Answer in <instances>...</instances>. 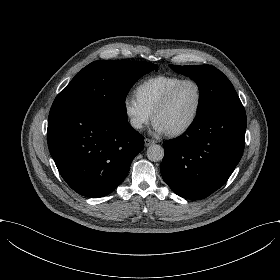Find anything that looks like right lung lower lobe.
Listing matches in <instances>:
<instances>
[{
	"label": "right lung lower lobe",
	"instance_id": "98d812e1",
	"mask_svg": "<svg viewBox=\"0 0 280 280\" xmlns=\"http://www.w3.org/2000/svg\"><path fill=\"white\" fill-rule=\"evenodd\" d=\"M48 147L66 183L77 193L99 198L113 192L144 147L127 119L75 103H53Z\"/></svg>",
	"mask_w": 280,
	"mask_h": 280
}]
</instances>
